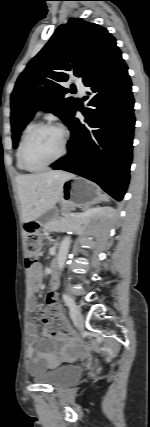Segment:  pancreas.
I'll return each mask as SVG.
<instances>
[{
    "label": "pancreas",
    "instance_id": "1",
    "mask_svg": "<svg viewBox=\"0 0 150 427\" xmlns=\"http://www.w3.org/2000/svg\"><path fill=\"white\" fill-rule=\"evenodd\" d=\"M78 214H74V213H70V212H64L62 213V216L59 219V222L56 223L54 226H50L48 224H46L44 227L47 230H51L52 228L56 229V230H62L66 227H68L69 225L73 224L76 222V220L78 219Z\"/></svg>",
    "mask_w": 150,
    "mask_h": 427
}]
</instances>
